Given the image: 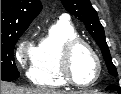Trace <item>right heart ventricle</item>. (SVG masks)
Returning <instances> with one entry per match:
<instances>
[{
	"label": "right heart ventricle",
	"instance_id": "1",
	"mask_svg": "<svg viewBox=\"0 0 121 94\" xmlns=\"http://www.w3.org/2000/svg\"><path fill=\"white\" fill-rule=\"evenodd\" d=\"M73 25L65 19L54 22L47 34L34 48L29 78L32 83L47 88H62L67 82L59 70L60 50L63 43L77 37Z\"/></svg>",
	"mask_w": 121,
	"mask_h": 94
}]
</instances>
